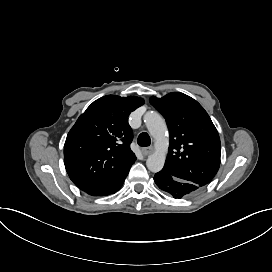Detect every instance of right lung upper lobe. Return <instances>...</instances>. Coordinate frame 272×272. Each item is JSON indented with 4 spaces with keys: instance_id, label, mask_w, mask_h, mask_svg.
Here are the masks:
<instances>
[{
    "instance_id": "obj_1",
    "label": "right lung upper lobe",
    "mask_w": 272,
    "mask_h": 272,
    "mask_svg": "<svg viewBox=\"0 0 272 272\" xmlns=\"http://www.w3.org/2000/svg\"><path fill=\"white\" fill-rule=\"evenodd\" d=\"M143 104L140 97L107 95L78 118L64 145L66 171L78 188L108 183L133 165L128 116Z\"/></svg>"
}]
</instances>
